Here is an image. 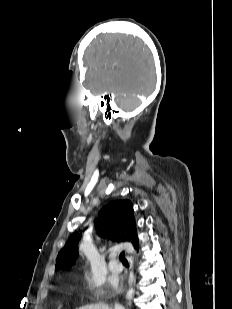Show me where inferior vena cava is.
<instances>
[{
	"mask_svg": "<svg viewBox=\"0 0 232 309\" xmlns=\"http://www.w3.org/2000/svg\"><path fill=\"white\" fill-rule=\"evenodd\" d=\"M116 309H123V308L119 307V308H116Z\"/></svg>",
	"mask_w": 232,
	"mask_h": 309,
	"instance_id": "obj_1",
	"label": "inferior vena cava"
}]
</instances>
